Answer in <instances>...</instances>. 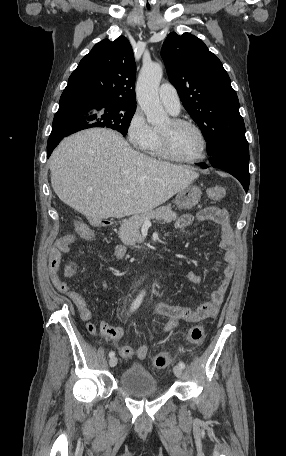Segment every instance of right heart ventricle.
Instances as JSON below:
<instances>
[{
  "mask_svg": "<svg viewBox=\"0 0 286 456\" xmlns=\"http://www.w3.org/2000/svg\"><path fill=\"white\" fill-rule=\"evenodd\" d=\"M144 151L155 158H162V155L160 153L159 149V138H158V131L153 130V136L148 143V145L144 148Z\"/></svg>",
  "mask_w": 286,
  "mask_h": 456,
  "instance_id": "1",
  "label": "right heart ventricle"
}]
</instances>
